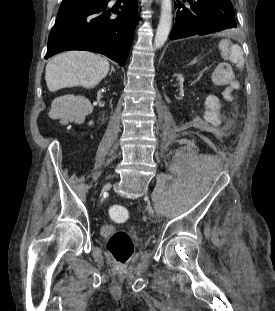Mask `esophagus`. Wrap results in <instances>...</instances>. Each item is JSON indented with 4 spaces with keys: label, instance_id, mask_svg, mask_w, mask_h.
I'll return each mask as SVG.
<instances>
[{
    "label": "esophagus",
    "instance_id": "34e87169",
    "mask_svg": "<svg viewBox=\"0 0 275 311\" xmlns=\"http://www.w3.org/2000/svg\"><path fill=\"white\" fill-rule=\"evenodd\" d=\"M156 3H158V4H159V3H160V0H156Z\"/></svg>",
    "mask_w": 275,
    "mask_h": 311
}]
</instances>
